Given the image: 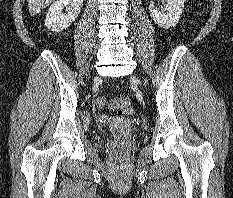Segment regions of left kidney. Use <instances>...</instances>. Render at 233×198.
<instances>
[{"label":"left kidney","mask_w":233,"mask_h":198,"mask_svg":"<svg viewBox=\"0 0 233 198\" xmlns=\"http://www.w3.org/2000/svg\"><path fill=\"white\" fill-rule=\"evenodd\" d=\"M183 8L184 0H167L163 10L159 11L151 1L149 14L160 27L168 29L174 27L179 22Z\"/></svg>","instance_id":"5707ae66"}]
</instances>
